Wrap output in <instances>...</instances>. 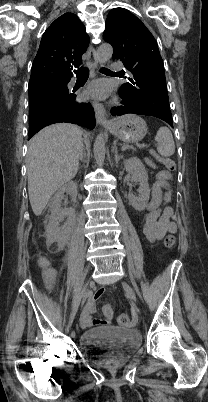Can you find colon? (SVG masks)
<instances>
[{"instance_id":"obj_1","label":"colon","mask_w":208,"mask_h":402,"mask_svg":"<svg viewBox=\"0 0 208 402\" xmlns=\"http://www.w3.org/2000/svg\"><path fill=\"white\" fill-rule=\"evenodd\" d=\"M160 162L164 163L166 170L169 172H173L176 169V163L174 160L170 158H165V157H159L157 156ZM176 243V237L173 234H169L165 237L164 239V244L168 248H172L175 246ZM37 262L39 265H42V269L44 270L46 275H53L55 272V269L53 266H49L48 259L46 256H39L37 259ZM51 277V276H50ZM48 291V290H45ZM117 322L122 325H128L129 324V316L127 313H120L117 316Z\"/></svg>"}]
</instances>
